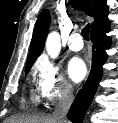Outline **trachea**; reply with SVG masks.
<instances>
[{
	"label": "trachea",
	"instance_id": "trachea-1",
	"mask_svg": "<svg viewBox=\"0 0 118 123\" xmlns=\"http://www.w3.org/2000/svg\"><path fill=\"white\" fill-rule=\"evenodd\" d=\"M89 32H90V25L88 24L82 29V32H81V35L86 41H89Z\"/></svg>",
	"mask_w": 118,
	"mask_h": 123
}]
</instances>
